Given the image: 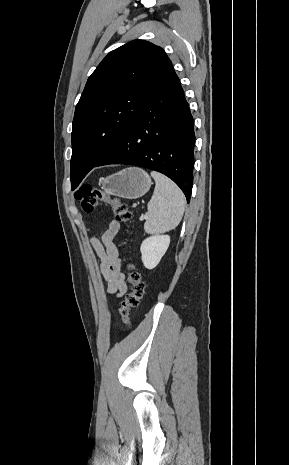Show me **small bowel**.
<instances>
[{
	"mask_svg": "<svg viewBox=\"0 0 289 465\" xmlns=\"http://www.w3.org/2000/svg\"><path fill=\"white\" fill-rule=\"evenodd\" d=\"M118 222L112 221L100 239L91 240L96 256L100 260V269L103 275L108 294L122 296L126 290L125 276L122 272V262L119 259L115 236L119 232Z\"/></svg>",
	"mask_w": 289,
	"mask_h": 465,
	"instance_id": "obj_1",
	"label": "small bowel"
}]
</instances>
